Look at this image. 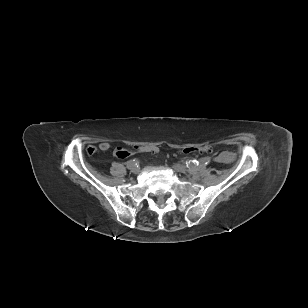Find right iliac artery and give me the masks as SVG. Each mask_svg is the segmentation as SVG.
Masks as SVG:
<instances>
[{"label":"right iliac artery","instance_id":"obj_1","mask_svg":"<svg viewBox=\"0 0 308 308\" xmlns=\"http://www.w3.org/2000/svg\"><path fill=\"white\" fill-rule=\"evenodd\" d=\"M138 165H139V161L137 159H133V160H130V161L127 162V168L128 169H132L135 166L138 167Z\"/></svg>","mask_w":308,"mask_h":308}]
</instances>
